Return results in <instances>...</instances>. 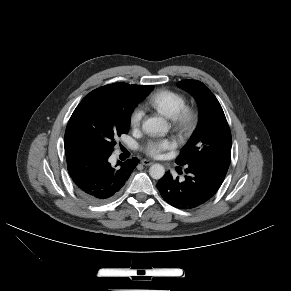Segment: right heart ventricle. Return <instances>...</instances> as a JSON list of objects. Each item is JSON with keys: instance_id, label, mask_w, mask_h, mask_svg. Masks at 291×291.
<instances>
[{"instance_id": "obj_1", "label": "right heart ventricle", "mask_w": 291, "mask_h": 291, "mask_svg": "<svg viewBox=\"0 0 291 291\" xmlns=\"http://www.w3.org/2000/svg\"><path fill=\"white\" fill-rule=\"evenodd\" d=\"M146 103L158 113L172 119L186 105V99L179 92L161 89L153 93Z\"/></svg>"}]
</instances>
